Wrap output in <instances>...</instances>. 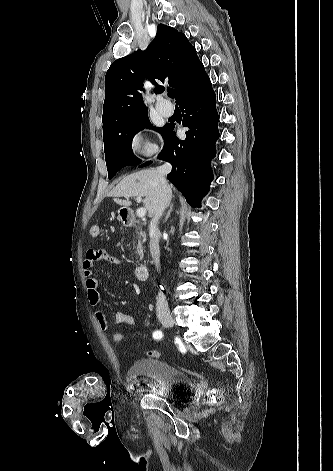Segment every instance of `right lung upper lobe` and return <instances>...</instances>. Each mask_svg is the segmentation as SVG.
Listing matches in <instances>:
<instances>
[{
  "instance_id": "right-lung-upper-lobe-1",
  "label": "right lung upper lobe",
  "mask_w": 333,
  "mask_h": 471,
  "mask_svg": "<svg viewBox=\"0 0 333 471\" xmlns=\"http://www.w3.org/2000/svg\"><path fill=\"white\" fill-rule=\"evenodd\" d=\"M205 73L195 48L186 36L174 28L159 24L154 40L145 51L137 50L113 62L105 76L103 132L110 126L147 112L142 100L143 78L162 93L169 77V86L176 90V101L192 83Z\"/></svg>"
}]
</instances>
